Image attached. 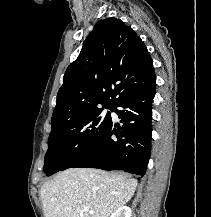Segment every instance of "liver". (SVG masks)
Segmentation results:
<instances>
[{"instance_id":"6515ba94","label":"liver","mask_w":211,"mask_h":217,"mask_svg":"<svg viewBox=\"0 0 211 217\" xmlns=\"http://www.w3.org/2000/svg\"><path fill=\"white\" fill-rule=\"evenodd\" d=\"M137 180L94 168H69L40 190L45 217H110L134 195ZM89 211H83V207Z\"/></svg>"}]
</instances>
